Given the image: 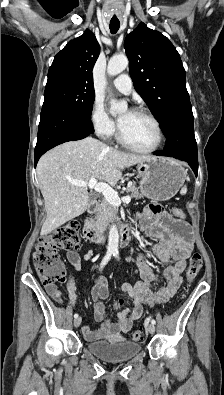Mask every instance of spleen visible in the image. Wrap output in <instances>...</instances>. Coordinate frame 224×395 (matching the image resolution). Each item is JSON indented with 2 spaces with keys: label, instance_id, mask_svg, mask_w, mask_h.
<instances>
[{
  "label": "spleen",
  "instance_id": "obj_1",
  "mask_svg": "<svg viewBox=\"0 0 224 395\" xmlns=\"http://www.w3.org/2000/svg\"><path fill=\"white\" fill-rule=\"evenodd\" d=\"M186 192H187V187L184 186V187L181 189L180 193H181L182 195H184V194H186Z\"/></svg>",
  "mask_w": 224,
  "mask_h": 395
}]
</instances>
